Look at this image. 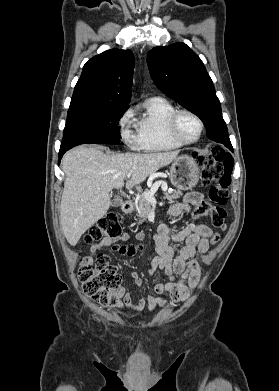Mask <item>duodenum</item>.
<instances>
[{
  "mask_svg": "<svg viewBox=\"0 0 279 391\" xmlns=\"http://www.w3.org/2000/svg\"><path fill=\"white\" fill-rule=\"evenodd\" d=\"M122 210L126 214L131 213L133 210V202L131 200H125L122 204Z\"/></svg>",
  "mask_w": 279,
  "mask_h": 391,
  "instance_id": "duodenum-1",
  "label": "duodenum"
}]
</instances>
